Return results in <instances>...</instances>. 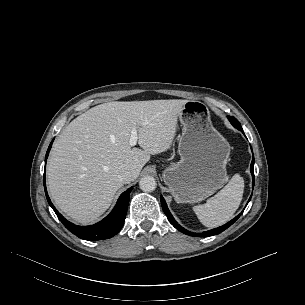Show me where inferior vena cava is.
I'll return each mask as SVG.
<instances>
[{
  "label": "inferior vena cava",
  "mask_w": 305,
  "mask_h": 305,
  "mask_svg": "<svg viewBox=\"0 0 305 305\" xmlns=\"http://www.w3.org/2000/svg\"><path fill=\"white\" fill-rule=\"evenodd\" d=\"M118 178L123 184L130 183L133 180V172L130 170H122Z\"/></svg>",
  "instance_id": "1"
}]
</instances>
